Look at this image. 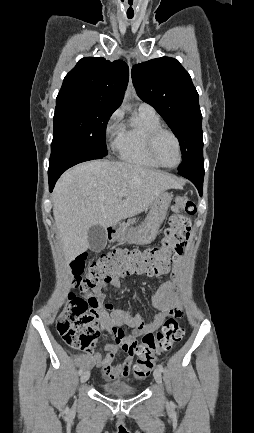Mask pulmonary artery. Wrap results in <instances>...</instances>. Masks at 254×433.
<instances>
[{
	"mask_svg": "<svg viewBox=\"0 0 254 433\" xmlns=\"http://www.w3.org/2000/svg\"><path fill=\"white\" fill-rule=\"evenodd\" d=\"M139 110L142 111H154L153 107L147 103H140Z\"/></svg>",
	"mask_w": 254,
	"mask_h": 433,
	"instance_id": "pulmonary-artery-1",
	"label": "pulmonary artery"
}]
</instances>
